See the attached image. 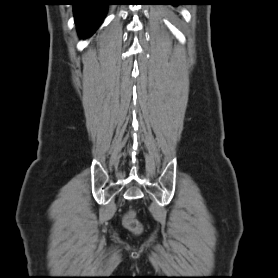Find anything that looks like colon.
I'll use <instances>...</instances> for the list:
<instances>
[{"label": "colon", "instance_id": "colon-1", "mask_svg": "<svg viewBox=\"0 0 278 278\" xmlns=\"http://www.w3.org/2000/svg\"><path fill=\"white\" fill-rule=\"evenodd\" d=\"M124 225L133 232H139L141 230L140 223L136 220L132 212H128L123 218Z\"/></svg>", "mask_w": 278, "mask_h": 278}]
</instances>
